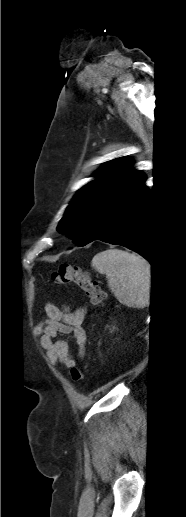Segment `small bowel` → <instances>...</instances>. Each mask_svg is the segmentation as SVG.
I'll list each match as a JSON object with an SVG mask.
<instances>
[{
  "mask_svg": "<svg viewBox=\"0 0 186 517\" xmlns=\"http://www.w3.org/2000/svg\"><path fill=\"white\" fill-rule=\"evenodd\" d=\"M47 319L39 326L42 331L41 345L52 365H63L66 368L75 366L76 361L72 357L69 344L65 340L57 339L59 334H71L78 345L79 355L85 352L86 332L84 329L85 309L70 311L67 308H59L52 303L45 306Z\"/></svg>",
  "mask_w": 186,
  "mask_h": 517,
  "instance_id": "c3829d8e",
  "label": "small bowel"
}]
</instances>
